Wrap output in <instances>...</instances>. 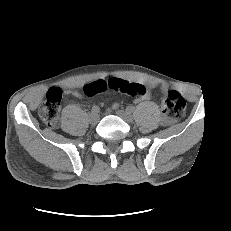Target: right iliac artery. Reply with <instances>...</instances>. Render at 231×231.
<instances>
[{"instance_id": "82829eb1", "label": "right iliac artery", "mask_w": 231, "mask_h": 231, "mask_svg": "<svg viewBox=\"0 0 231 231\" xmlns=\"http://www.w3.org/2000/svg\"><path fill=\"white\" fill-rule=\"evenodd\" d=\"M92 113L97 114L100 111V108L98 106H93L91 109Z\"/></svg>"}]
</instances>
